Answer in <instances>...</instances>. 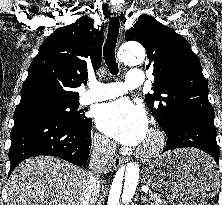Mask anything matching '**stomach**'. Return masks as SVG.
<instances>
[{
  "label": "stomach",
  "instance_id": "1",
  "mask_svg": "<svg viewBox=\"0 0 222 205\" xmlns=\"http://www.w3.org/2000/svg\"><path fill=\"white\" fill-rule=\"evenodd\" d=\"M145 179L171 205H205L218 188L211 158L194 149L176 150L156 159L146 169Z\"/></svg>",
  "mask_w": 222,
  "mask_h": 205
}]
</instances>
